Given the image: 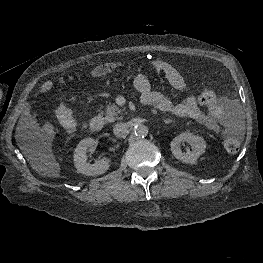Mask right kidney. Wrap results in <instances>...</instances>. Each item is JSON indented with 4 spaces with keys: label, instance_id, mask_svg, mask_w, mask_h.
<instances>
[{
    "label": "right kidney",
    "instance_id": "ca27d5eb",
    "mask_svg": "<svg viewBox=\"0 0 263 263\" xmlns=\"http://www.w3.org/2000/svg\"><path fill=\"white\" fill-rule=\"evenodd\" d=\"M95 140L86 138L79 142L74 151V164L78 173L95 176L104 174L110 167L109 163L105 160L95 161L93 164H88L86 150L93 148Z\"/></svg>",
    "mask_w": 263,
    "mask_h": 263
}]
</instances>
